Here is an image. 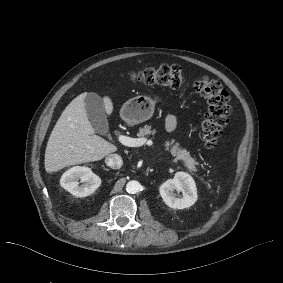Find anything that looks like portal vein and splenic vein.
Listing matches in <instances>:
<instances>
[{
    "mask_svg": "<svg viewBox=\"0 0 283 283\" xmlns=\"http://www.w3.org/2000/svg\"><path fill=\"white\" fill-rule=\"evenodd\" d=\"M119 141L124 146H128V147H140L145 143L148 146H151L153 144L151 140H147L146 138H132L124 135L119 136Z\"/></svg>",
    "mask_w": 283,
    "mask_h": 283,
    "instance_id": "portal-vein-and-splenic-vein-1",
    "label": "portal vein and splenic vein"
}]
</instances>
